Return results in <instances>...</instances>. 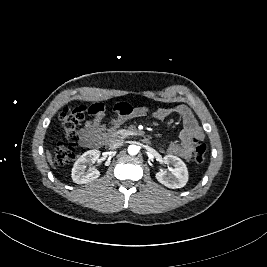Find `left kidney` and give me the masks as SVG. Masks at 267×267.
Here are the masks:
<instances>
[{
	"mask_svg": "<svg viewBox=\"0 0 267 267\" xmlns=\"http://www.w3.org/2000/svg\"><path fill=\"white\" fill-rule=\"evenodd\" d=\"M164 163L170 166L171 173L161 170L156 173V179L164 186L172 189L182 188L188 182V170L186 164L177 156L166 155Z\"/></svg>",
	"mask_w": 267,
	"mask_h": 267,
	"instance_id": "obj_1",
	"label": "left kidney"
}]
</instances>
